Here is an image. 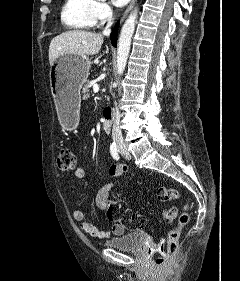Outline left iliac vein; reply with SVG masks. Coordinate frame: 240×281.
<instances>
[{
	"mask_svg": "<svg viewBox=\"0 0 240 281\" xmlns=\"http://www.w3.org/2000/svg\"><path fill=\"white\" fill-rule=\"evenodd\" d=\"M121 153L123 155V157L126 159V160H130L131 159V155L130 153L127 151V150H121Z\"/></svg>",
	"mask_w": 240,
	"mask_h": 281,
	"instance_id": "1",
	"label": "left iliac vein"
}]
</instances>
